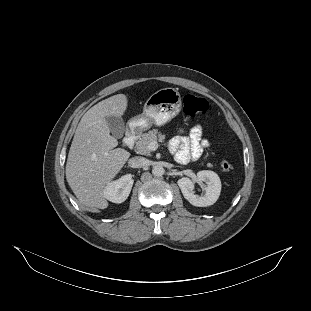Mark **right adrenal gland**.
<instances>
[{"label": "right adrenal gland", "instance_id": "2a0ac1e0", "mask_svg": "<svg viewBox=\"0 0 311 311\" xmlns=\"http://www.w3.org/2000/svg\"><path fill=\"white\" fill-rule=\"evenodd\" d=\"M125 168L131 169V168H130V167H128V166H125Z\"/></svg>", "mask_w": 311, "mask_h": 311}]
</instances>
